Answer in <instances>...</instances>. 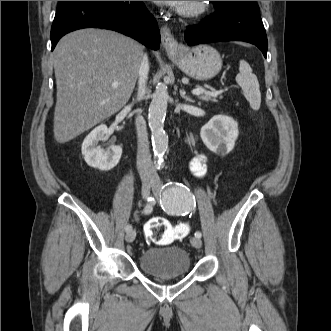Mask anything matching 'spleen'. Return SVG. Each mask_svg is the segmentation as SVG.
<instances>
[{
    "mask_svg": "<svg viewBox=\"0 0 331 331\" xmlns=\"http://www.w3.org/2000/svg\"><path fill=\"white\" fill-rule=\"evenodd\" d=\"M236 82L241 86L243 94L252 109L258 110L261 104L259 82L256 75L252 73V68L245 60H241L239 63V74L236 76Z\"/></svg>",
    "mask_w": 331,
    "mask_h": 331,
    "instance_id": "spleen-1",
    "label": "spleen"
}]
</instances>
